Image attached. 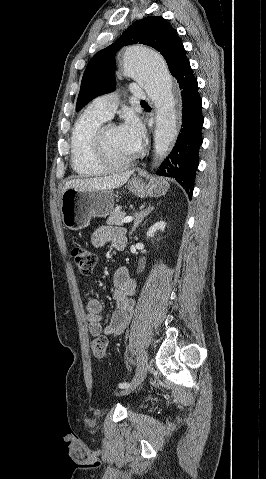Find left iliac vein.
Here are the masks:
<instances>
[{"label":"left iliac vein","instance_id":"left-iliac-vein-1","mask_svg":"<svg viewBox=\"0 0 266 479\" xmlns=\"http://www.w3.org/2000/svg\"><path fill=\"white\" fill-rule=\"evenodd\" d=\"M147 369H148V356L145 352H142L138 356L136 374L133 377V379L130 383V386L127 387V388H124V390H122L120 392V395H126V394L134 391L144 380L145 375L147 373Z\"/></svg>","mask_w":266,"mask_h":479}]
</instances>
